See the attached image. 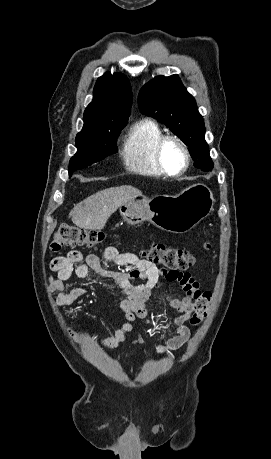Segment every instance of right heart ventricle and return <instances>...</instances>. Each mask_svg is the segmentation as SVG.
I'll return each mask as SVG.
<instances>
[{"label": "right heart ventricle", "instance_id": "1", "mask_svg": "<svg viewBox=\"0 0 271 459\" xmlns=\"http://www.w3.org/2000/svg\"><path fill=\"white\" fill-rule=\"evenodd\" d=\"M162 134L163 130L156 121L148 118L137 121L122 145L121 157L126 169L143 176L166 177L154 157L155 143Z\"/></svg>", "mask_w": 271, "mask_h": 459}]
</instances>
